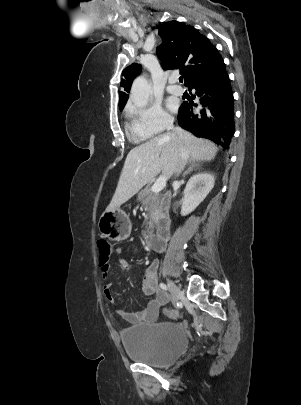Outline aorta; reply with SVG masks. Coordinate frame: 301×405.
I'll list each match as a JSON object with an SVG mask.
<instances>
[{
  "mask_svg": "<svg viewBox=\"0 0 301 405\" xmlns=\"http://www.w3.org/2000/svg\"><path fill=\"white\" fill-rule=\"evenodd\" d=\"M151 94V84L144 76L137 77L131 87V99L135 106L145 107Z\"/></svg>",
  "mask_w": 301,
  "mask_h": 405,
  "instance_id": "762f6f07",
  "label": "aorta"
}]
</instances>
